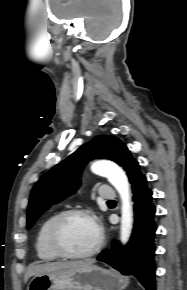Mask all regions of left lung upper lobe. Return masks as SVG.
Wrapping results in <instances>:
<instances>
[{"label": "left lung upper lobe", "mask_w": 187, "mask_h": 290, "mask_svg": "<svg viewBox=\"0 0 187 290\" xmlns=\"http://www.w3.org/2000/svg\"><path fill=\"white\" fill-rule=\"evenodd\" d=\"M94 157L110 159L122 166L131 184L142 175L137 160L118 138L109 135L97 136L44 174L35 184L28 205L27 229H30L48 208L78 189L80 172Z\"/></svg>", "instance_id": "left-lung-upper-lobe-1"}]
</instances>
